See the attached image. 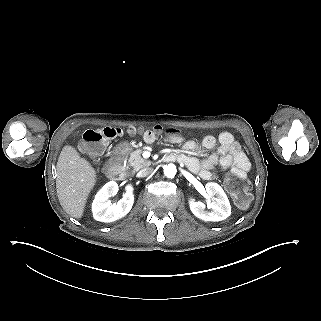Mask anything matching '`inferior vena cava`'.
Returning a JSON list of instances; mask_svg holds the SVG:
<instances>
[{
  "mask_svg": "<svg viewBox=\"0 0 321 321\" xmlns=\"http://www.w3.org/2000/svg\"><path fill=\"white\" fill-rule=\"evenodd\" d=\"M152 172H153V168L152 167H147V168H144V169L140 170L138 172L137 176L139 178H144V177H147L148 175H150Z\"/></svg>",
  "mask_w": 321,
  "mask_h": 321,
  "instance_id": "inferior-vena-cava-1",
  "label": "inferior vena cava"
}]
</instances>
